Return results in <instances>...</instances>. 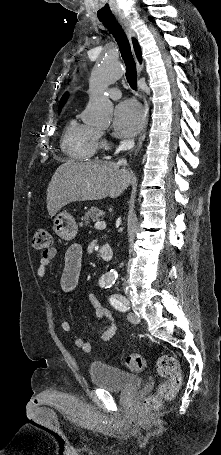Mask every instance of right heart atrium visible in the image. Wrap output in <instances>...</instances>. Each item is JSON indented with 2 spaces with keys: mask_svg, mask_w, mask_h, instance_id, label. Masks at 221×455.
<instances>
[{
  "mask_svg": "<svg viewBox=\"0 0 221 455\" xmlns=\"http://www.w3.org/2000/svg\"><path fill=\"white\" fill-rule=\"evenodd\" d=\"M101 137H102V133L99 132V138H101Z\"/></svg>",
  "mask_w": 221,
  "mask_h": 455,
  "instance_id": "right-heart-atrium-1",
  "label": "right heart atrium"
}]
</instances>
